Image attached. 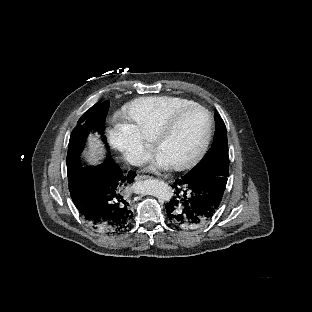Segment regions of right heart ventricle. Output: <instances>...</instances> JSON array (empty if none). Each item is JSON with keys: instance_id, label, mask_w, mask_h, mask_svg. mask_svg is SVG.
<instances>
[{"instance_id": "e07e8e85", "label": "right heart ventricle", "mask_w": 312, "mask_h": 312, "mask_svg": "<svg viewBox=\"0 0 312 312\" xmlns=\"http://www.w3.org/2000/svg\"><path fill=\"white\" fill-rule=\"evenodd\" d=\"M191 106V99L186 94L176 97L172 94H148L131 97L126 102L129 113L135 114L130 119V126L137 137L154 138L167 126V120L178 113H183Z\"/></svg>"}]
</instances>
